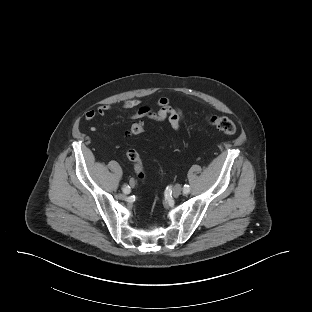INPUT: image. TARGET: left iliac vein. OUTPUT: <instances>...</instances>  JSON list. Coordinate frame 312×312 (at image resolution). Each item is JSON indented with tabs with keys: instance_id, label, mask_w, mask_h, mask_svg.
Here are the masks:
<instances>
[{
	"instance_id": "obj_1",
	"label": "left iliac vein",
	"mask_w": 312,
	"mask_h": 312,
	"mask_svg": "<svg viewBox=\"0 0 312 312\" xmlns=\"http://www.w3.org/2000/svg\"><path fill=\"white\" fill-rule=\"evenodd\" d=\"M182 192V188L180 185H175L173 188V195L174 197H178Z\"/></svg>"
}]
</instances>
